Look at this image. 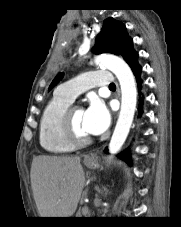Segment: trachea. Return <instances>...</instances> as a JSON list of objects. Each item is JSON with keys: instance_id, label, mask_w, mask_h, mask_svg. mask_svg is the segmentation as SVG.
I'll list each match as a JSON object with an SVG mask.
<instances>
[{"instance_id": "obj_1", "label": "trachea", "mask_w": 181, "mask_h": 227, "mask_svg": "<svg viewBox=\"0 0 181 227\" xmlns=\"http://www.w3.org/2000/svg\"><path fill=\"white\" fill-rule=\"evenodd\" d=\"M109 88H116V86H115L114 83H112V84L109 85Z\"/></svg>"}]
</instances>
